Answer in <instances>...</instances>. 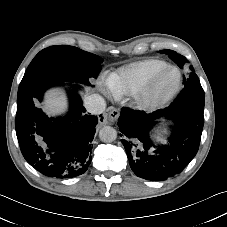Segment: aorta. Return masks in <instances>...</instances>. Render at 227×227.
I'll return each mask as SVG.
<instances>
[{"label": "aorta", "mask_w": 227, "mask_h": 227, "mask_svg": "<svg viewBox=\"0 0 227 227\" xmlns=\"http://www.w3.org/2000/svg\"><path fill=\"white\" fill-rule=\"evenodd\" d=\"M99 138L105 143H111L117 138V131L111 126H105L99 131Z\"/></svg>", "instance_id": "762f6f07"}]
</instances>
